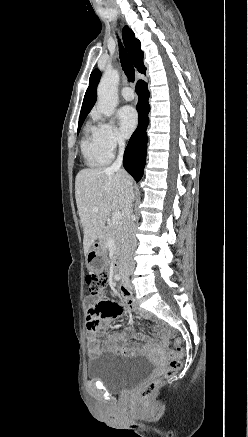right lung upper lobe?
<instances>
[{
    "instance_id": "obj_1",
    "label": "right lung upper lobe",
    "mask_w": 248,
    "mask_h": 437,
    "mask_svg": "<svg viewBox=\"0 0 248 437\" xmlns=\"http://www.w3.org/2000/svg\"><path fill=\"white\" fill-rule=\"evenodd\" d=\"M122 36L124 44L128 50L134 66L138 69L140 73H145L146 68L143 64L144 53L140 50V41L135 38L133 31L128 26H125L123 28ZM100 76L101 73L98 69H95L90 75L89 87L84 96L79 120L87 116V114L90 112L96 102V88L99 83Z\"/></svg>"
}]
</instances>
